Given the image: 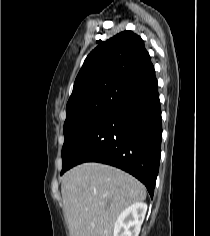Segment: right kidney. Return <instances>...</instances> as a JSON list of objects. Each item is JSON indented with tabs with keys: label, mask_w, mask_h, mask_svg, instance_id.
<instances>
[{
	"label": "right kidney",
	"mask_w": 210,
	"mask_h": 236,
	"mask_svg": "<svg viewBox=\"0 0 210 236\" xmlns=\"http://www.w3.org/2000/svg\"><path fill=\"white\" fill-rule=\"evenodd\" d=\"M147 211V204L136 202L124 209L114 225L113 236H138Z\"/></svg>",
	"instance_id": "1"
}]
</instances>
